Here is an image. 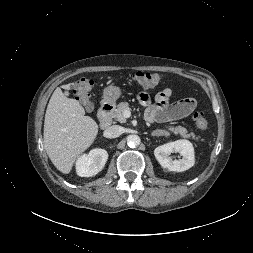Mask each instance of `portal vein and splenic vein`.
Wrapping results in <instances>:
<instances>
[{
	"instance_id": "portal-vein-and-splenic-vein-1",
	"label": "portal vein and splenic vein",
	"mask_w": 253,
	"mask_h": 253,
	"mask_svg": "<svg viewBox=\"0 0 253 253\" xmlns=\"http://www.w3.org/2000/svg\"><path fill=\"white\" fill-rule=\"evenodd\" d=\"M124 117L125 118H129L130 116H131V112H130V110H126V111H124Z\"/></svg>"
}]
</instances>
